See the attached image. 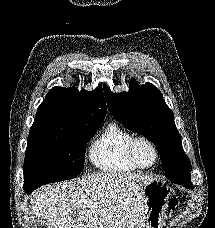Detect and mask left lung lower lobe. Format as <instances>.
I'll return each instance as SVG.
<instances>
[{
	"mask_svg": "<svg viewBox=\"0 0 215 228\" xmlns=\"http://www.w3.org/2000/svg\"><path fill=\"white\" fill-rule=\"evenodd\" d=\"M171 182H174V183L179 184V185H183V186H185L186 188H189V189H193L194 188V186L191 184V180L190 179L171 180Z\"/></svg>",
	"mask_w": 215,
	"mask_h": 228,
	"instance_id": "obj_1",
	"label": "left lung lower lobe"
}]
</instances>
